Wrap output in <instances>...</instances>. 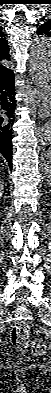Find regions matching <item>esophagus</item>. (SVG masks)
Here are the masks:
<instances>
[{
  "label": "esophagus",
  "mask_w": 51,
  "mask_h": 393,
  "mask_svg": "<svg viewBox=\"0 0 51 393\" xmlns=\"http://www.w3.org/2000/svg\"><path fill=\"white\" fill-rule=\"evenodd\" d=\"M29 102L38 107V115L40 118H48L50 114V105L39 97L36 88L29 87Z\"/></svg>",
  "instance_id": "1"
}]
</instances>
